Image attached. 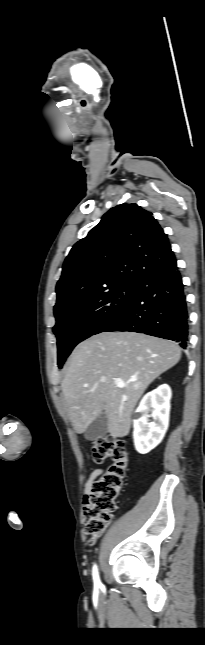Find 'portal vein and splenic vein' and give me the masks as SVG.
<instances>
[{"label":"portal vein and splenic vein","instance_id":"obj_1","mask_svg":"<svg viewBox=\"0 0 205 645\" xmlns=\"http://www.w3.org/2000/svg\"><path fill=\"white\" fill-rule=\"evenodd\" d=\"M133 381H134V380H130V381H129V382H127V383H130V382H133ZM127 383H125L122 379H115V385H116L118 388H123V387H125Z\"/></svg>","mask_w":205,"mask_h":645}]
</instances>
